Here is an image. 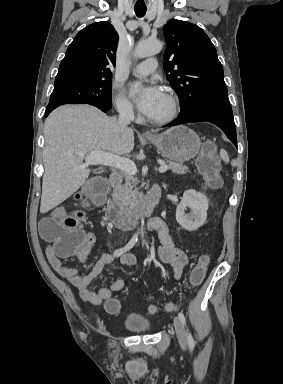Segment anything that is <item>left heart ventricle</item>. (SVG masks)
Segmentation results:
<instances>
[{"mask_svg": "<svg viewBox=\"0 0 283 384\" xmlns=\"http://www.w3.org/2000/svg\"><path fill=\"white\" fill-rule=\"evenodd\" d=\"M167 111H168V103H167V99L164 95L163 99L158 104V106L155 108V110L150 115H148L146 117L149 119L159 118V117H162L163 115H165L167 113Z\"/></svg>", "mask_w": 283, "mask_h": 384, "instance_id": "left-heart-ventricle-1", "label": "left heart ventricle"}]
</instances>
